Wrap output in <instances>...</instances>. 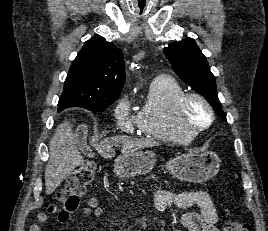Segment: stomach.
<instances>
[{"mask_svg":"<svg viewBox=\"0 0 268 231\" xmlns=\"http://www.w3.org/2000/svg\"><path fill=\"white\" fill-rule=\"evenodd\" d=\"M156 155L152 151L122 153L115 160L117 173L131 178L149 173L155 166ZM220 166L218 156L210 151H188L171 158L165 169L173 177L187 182L202 183L214 177Z\"/></svg>","mask_w":268,"mask_h":231,"instance_id":"obj_1","label":"stomach"}]
</instances>
